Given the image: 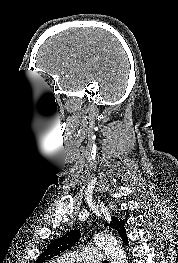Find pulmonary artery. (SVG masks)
Wrapping results in <instances>:
<instances>
[{
	"label": "pulmonary artery",
	"instance_id": "obj_1",
	"mask_svg": "<svg viewBox=\"0 0 178 263\" xmlns=\"http://www.w3.org/2000/svg\"><path fill=\"white\" fill-rule=\"evenodd\" d=\"M103 257L97 247H84L73 253H66L58 258L59 263H97Z\"/></svg>",
	"mask_w": 178,
	"mask_h": 263
}]
</instances>
